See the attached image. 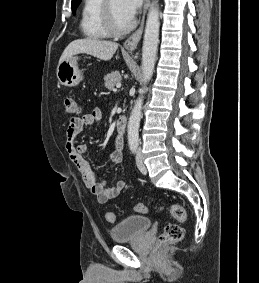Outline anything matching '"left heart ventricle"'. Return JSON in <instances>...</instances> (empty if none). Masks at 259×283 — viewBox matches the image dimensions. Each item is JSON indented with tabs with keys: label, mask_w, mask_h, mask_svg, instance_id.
I'll return each instance as SVG.
<instances>
[{
	"label": "left heart ventricle",
	"mask_w": 259,
	"mask_h": 283,
	"mask_svg": "<svg viewBox=\"0 0 259 283\" xmlns=\"http://www.w3.org/2000/svg\"><path fill=\"white\" fill-rule=\"evenodd\" d=\"M111 6L117 25L119 27H125L131 19L123 12L121 0H111Z\"/></svg>",
	"instance_id": "b2bd125f"
}]
</instances>
